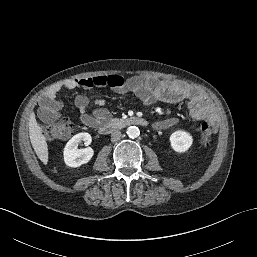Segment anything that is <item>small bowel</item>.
<instances>
[{"label": "small bowel", "mask_w": 257, "mask_h": 257, "mask_svg": "<svg viewBox=\"0 0 257 257\" xmlns=\"http://www.w3.org/2000/svg\"><path fill=\"white\" fill-rule=\"evenodd\" d=\"M108 88L120 95L135 94L145 105L156 101L176 104L187 102L190 116L195 120H205L211 117V108L205 96L199 91L180 81L158 80L152 77L134 76L124 79L119 75H100L89 78L65 79L54 84L40 100V115L46 120H54L58 116L60 103L57 94L62 89ZM75 104L79 109L80 121L89 127L97 128L103 122L110 120V112L104 99L93 101L95 109L89 112L91 101L88 95H78ZM178 120L174 117L155 123L157 130H165L174 126Z\"/></svg>", "instance_id": "c3829d8e"}]
</instances>
